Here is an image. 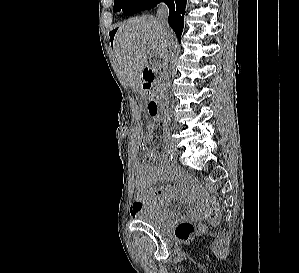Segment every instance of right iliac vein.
<instances>
[{"label": "right iliac vein", "instance_id": "right-iliac-vein-1", "mask_svg": "<svg viewBox=\"0 0 299 273\" xmlns=\"http://www.w3.org/2000/svg\"><path fill=\"white\" fill-rule=\"evenodd\" d=\"M164 147L168 152H170L173 155H178V153H179L177 147L171 141H166L164 143Z\"/></svg>", "mask_w": 299, "mask_h": 273}]
</instances>
